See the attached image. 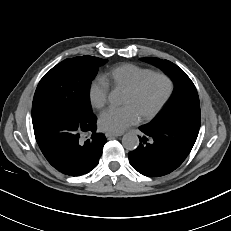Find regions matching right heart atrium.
<instances>
[{
  "instance_id": "obj_1",
  "label": "right heart atrium",
  "mask_w": 231,
  "mask_h": 231,
  "mask_svg": "<svg viewBox=\"0 0 231 231\" xmlns=\"http://www.w3.org/2000/svg\"><path fill=\"white\" fill-rule=\"evenodd\" d=\"M109 84L104 78L95 79L89 87V100L96 109H103L108 103Z\"/></svg>"
}]
</instances>
